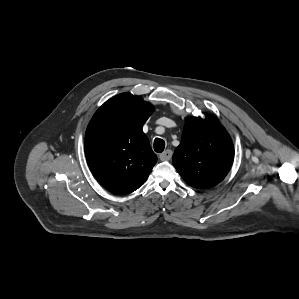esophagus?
<instances>
[{"mask_svg": "<svg viewBox=\"0 0 299 299\" xmlns=\"http://www.w3.org/2000/svg\"><path fill=\"white\" fill-rule=\"evenodd\" d=\"M173 152L169 149L165 150L159 155L161 161H169L172 157Z\"/></svg>", "mask_w": 299, "mask_h": 299, "instance_id": "34e87169", "label": "esophagus"}]
</instances>
